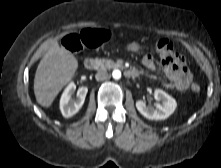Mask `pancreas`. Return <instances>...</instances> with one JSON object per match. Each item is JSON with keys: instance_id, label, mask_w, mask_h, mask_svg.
I'll use <instances>...</instances> for the list:
<instances>
[{"instance_id": "cf45deb5", "label": "pancreas", "mask_w": 221, "mask_h": 168, "mask_svg": "<svg viewBox=\"0 0 221 168\" xmlns=\"http://www.w3.org/2000/svg\"><path fill=\"white\" fill-rule=\"evenodd\" d=\"M94 61L97 66V69L105 70V69H112V68L117 67V64L112 60H108L104 58L103 59L96 58Z\"/></svg>"}]
</instances>
